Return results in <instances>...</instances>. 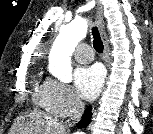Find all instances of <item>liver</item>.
Listing matches in <instances>:
<instances>
[{
    "instance_id": "1",
    "label": "liver",
    "mask_w": 153,
    "mask_h": 134,
    "mask_svg": "<svg viewBox=\"0 0 153 134\" xmlns=\"http://www.w3.org/2000/svg\"><path fill=\"white\" fill-rule=\"evenodd\" d=\"M27 117V116H26ZM30 118L29 121L25 123V127H20L17 132H21L25 134L26 132H48L51 133H59L63 134L65 131V127L61 123H57L56 120L52 119L51 117L39 113H31L28 115ZM24 129V130H23Z\"/></svg>"
}]
</instances>
